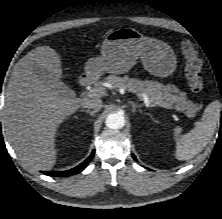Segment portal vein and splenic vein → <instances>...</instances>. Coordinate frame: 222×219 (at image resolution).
I'll return each instance as SVG.
<instances>
[{
	"mask_svg": "<svg viewBox=\"0 0 222 219\" xmlns=\"http://www.w3.org/2000/svg\"><path fill=\"white\" fill-rule=\"evenodd\" d=\"M104 93L105 92H104L103 88L96 87V88H93L92 90H90L87 95L89 97H98V96L104 95ZM137 96L140 97L147 106L150 105V99L145 93H137ZM157 105L162 106L164 108H169V109L172 108V105L170 103L165 102V101H161V100L157 102Z\"/></svg>",
	"mask_w": 222,
	"mask_h": 219,
	"instance_id": "1",
	"label": "portal vein and splenic vein"
}]
</instances>
